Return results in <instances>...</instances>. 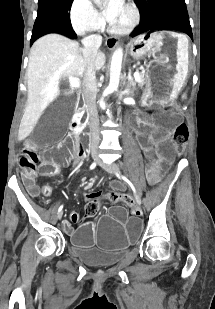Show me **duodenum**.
Returning <instances> with one entry per match:
<instances>
[{
	"label": "duodenum",
	"mask_w": 215,
	"mask_h": 309,
	"mask_svg": "<svg viewBox=\"0 0 215 309\" xmlns=\"http://www.w3.org/2000/svg\"><path fill=\"white\" fill-rule=\"evenodd\" d=\"M71 132H72L73 135L80 134L81 126H80L79 120H76V121L73 122V124L71 126Z\"/></svg>",
	"instance_id": "1"
}]
</instances>
